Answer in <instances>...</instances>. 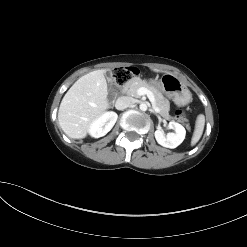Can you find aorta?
Listing matches in <instances>:
<instances>
[{
    "label": "aorta",
    "instance_id": "obj_1",
    "mask_svg": "<svg viewBox=\"0 0 247 247\" xmlns=\"http://www.w3.org/2000/svg\"><path fill=\"white\" fill-rule=\"evenodd\" d=\"M139 108L141 111H146L148 109V106L146 103L143 102L139 105Z\"/></svg>",
    "mask_w": 247,
    "mask_h": 247
}]
</instances>
